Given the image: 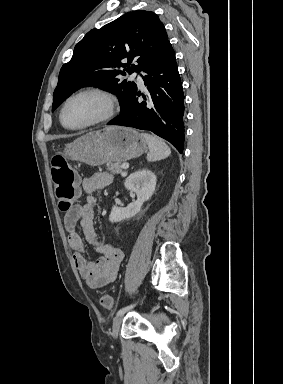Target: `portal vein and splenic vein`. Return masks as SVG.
Instances as JSON below:
<instances>
[{"label":"portal vein and splenic vein","instance_id":"1","mask_svg":"<svg viewBox=\"0 0 283 384\" xmlns=\"http://www.w3.org/2000/svg\"><path fill=\"white\" fill-rule=\"evenodd\" d=\"M121 168H123V170H127V168H129V164H122Z\"/></svg>","mask_w":283,"mask_h":384}]
</instances>
